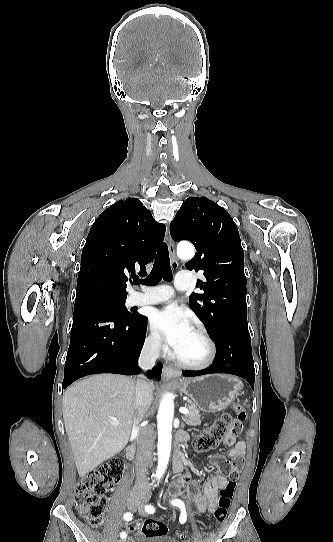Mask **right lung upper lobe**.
Listing matches in <instances>:
<instances>
[{
  "mask_svg": "<svg viewBox=\"0 0 333 542\" xmlns=\"http://www.w3.org/2000/svg\"><path fill=\"white\" fill-rule=\"evenodd\" d=\"M164 235L165 225L156 222L138 199L112 204L95 220L87 236L76 299L96 292L127 296L128 277L135 276V270L146 275L145 266L153 261ZM96 249L107 251L108 259L92 263L88 255Z\"/></svg>",
  "mask_w": 333,
  "mask_h": 542,
  "instance_id": "right-lung-upper-lobe-1",
  "label": "right lung upper lobe"
}]
</instances>
